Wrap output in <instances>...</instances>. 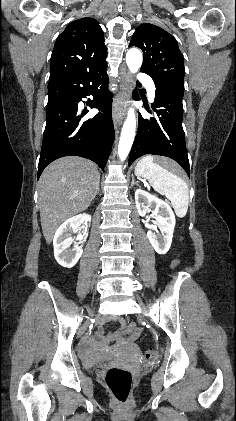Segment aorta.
<instances>
[{
    "mask_svg": "<svg viewBox=\"0 0 236 421\" xmlns=\"http://www.w3.org/2000/svg\"><path fill=\"white\" fill-rule=\"evenodd\" d=\"M142 52L138 48H129L126 54V62L130 72H137L142 64ZM136 130L135 108L131 106L127 112V118L122 126V132L118 144V156L120 160L127 158L133 144Z\"/></svg>",
    "mask_w": 236,
    "mask_h": 421,
    "instance_id": "obj_1",
    "label": "aorta"
}]
</instances>
